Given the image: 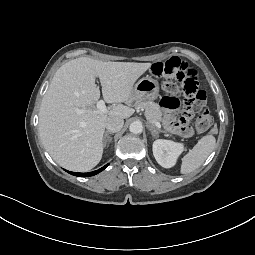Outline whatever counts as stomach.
Instances as JSON below:
<instances>
[{
  "mask_svg": "<svg viewBox=\"0 0 255 255\" xmlns=\"http://www.w3.org/2000/svg\"><path fill=\"white\" fill-rule=\"evenodd\" d=\"M159 84L153 78L146 76L140 79L133 88L136 101H150L158 97Z\"/></svg>",
  "mask_w": 255,
  "mask_h": 255,
  "instance_id": "stomach-1",
  "label": "stomach"
}]
</instances>
